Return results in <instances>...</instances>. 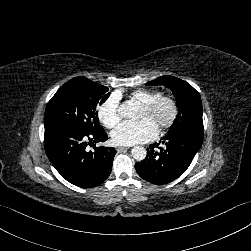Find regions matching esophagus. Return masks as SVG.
I'll use <instances>...</instances> for the list:
<instances>
[{
  "label": "esophagus",
  "mask_w": 251,
  "mask_h": 251,
  "mask_svg": "<svg viewBox=\"0 0 251 251\" xmlns=\"http://www.w3.org/2000/svg\"><path fill=\"white\" fill-rule=\"evenodd\" d=\"M124 149H125V147H122V146L116 147L117 152H122Z\"/></svg>",
  "instance_id": "obj_1"
}]
</instances>
